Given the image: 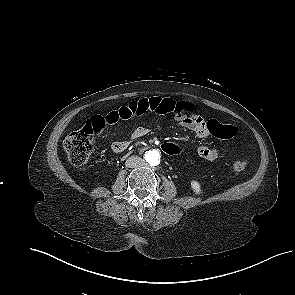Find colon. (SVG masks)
<instances>
[{
    "mask_svg": "<svg viewBox=\"0 0 295 295\" xmlns=\"http://www.w3.org/2000/svg\"><path fill=\"white\" fill-rule=\"evenodd\" d=\"M185 108L192 112L193 106L190 103L185 104ZM105 127L102 116H92L78 130L69 133L63 143L64 150L69 162L76 168H82L88 161L93 150V141L95 136ZM210 133L221 139H231L237 135V128L232 124H223L214 120L208 122ZM186 143L179 139L175 144L165 141L161 144V151L168 156L174 157L179 151L184 150ZM247 166L244 159H238L233 163L235 172L243 171Z\"/></svg>",
    "mask_w": 295,
    "mask_h": 295,
    "instance_id": "1",
    "label": "colon"
}]
</instances>
